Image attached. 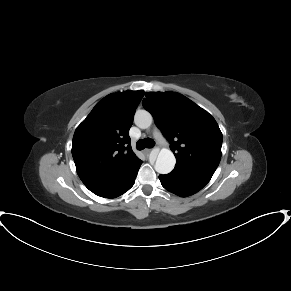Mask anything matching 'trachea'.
Instances as JSON below:
<instances>
[{"label":"trachea","mask_w":291,"mask_h":291,"mask_svg":"<svg viewBox=\"0 0 291 291\" xmlns=\"http://www.w3.org/2000/svg\"><path fill=\"white\" fill-rule=\"evenodd\" d=\"M155 142L151 138H146V139H140L137 141V149L138 150H143L145 148H152L154 147Z\"/></svg>","instance_id":"3493384b"}]
</instances>
